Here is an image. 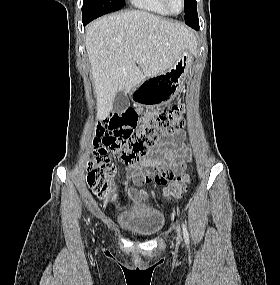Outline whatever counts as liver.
<instances>
[{
  "instance_id": "obj_1",
  "label": "liver",
  "mask_w": 280,
  "mask_h": 285,
  "mask_svg": "<svg viewBox=\"0 0 280 285\" xmlns=\"http://www.w3.org/2000/svg\"><path fill=\"white\" fill-rule=\"evenodd\" d=\"M85 45L97 97V117L113 109L115 94L130 93L145 78L168 70L186 49L196 46L194 32L146 11L101 17L86 27Z\"/></svg>"
}]
</instances>
